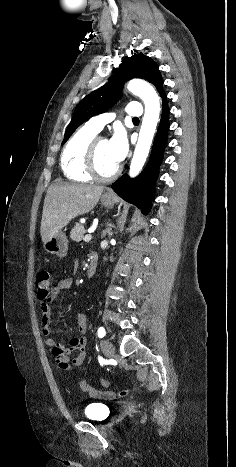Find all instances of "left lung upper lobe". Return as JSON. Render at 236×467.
Returning <instances> with one entry per match:
<instances>
[{"mask_svg": "<svg viewBox=\"0 0 236 467\" xmlns=\"http://www.w3.org/2000/svg\"><path fill=\"white\" fill-rule=\"evenodd\" d=\"M132 78L146 79L155 85L159 93L163 91V80L158 65L151 58L142 54L125 57L111 80L87 95L77 105L62 145L84 121L112 107L121 97L124 82Z\"/></svg>", "mask_w": 236, "mask_h": 467, "instance_id": "1", "label": "left lung upper lobe"}]
</instances>
